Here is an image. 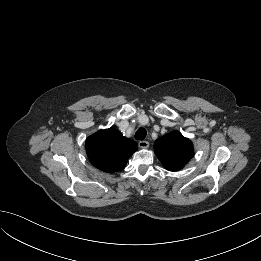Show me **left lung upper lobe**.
Segmentation results:
<instances>
[{
    "instance_id": "left-lung-upper-lobe-1",
    "label": "left lung upper lobe",
    "mask_w": 261,
    "mask_h": 261,
    "mask_svg": "<svg viewBox=\"0 0 261 261\" xmlns=\"http://www.w3.org/2000/svg\"><path fill=\"white\" fill-rule=\"evenodd\" d=\"M156 156L169 171L182 169L194 156L192 142L174 131L158 138L154 143Z\"/></svg>"
}]
</instances>
